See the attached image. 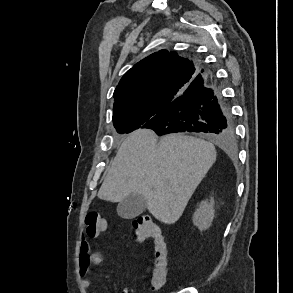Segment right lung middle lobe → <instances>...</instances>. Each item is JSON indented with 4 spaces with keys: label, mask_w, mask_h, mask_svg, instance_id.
<instances>
[{
    "label": "right lung middle lobe",
    "mask_w": 293,
    "mask_h": 293,
    "mask_svg": "<svg viewBox=\"0 0 293 293\" xmlns=\"http://www.w3.org/2000/svg\"><path fill=\"white\" fill-rule=\"evenodd\" d=\"M154 115V111L148 108L138 109L133 112L125 113L119 116H113V123L118 133H130L140 128Z\"/></svg>",
    "instance_id": "obj_1"
}]
</instances>
